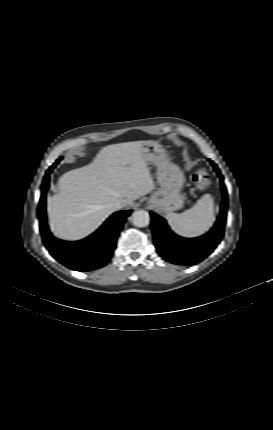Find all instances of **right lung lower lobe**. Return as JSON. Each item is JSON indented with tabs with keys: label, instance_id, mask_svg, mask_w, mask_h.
Masks as SVG:
<instances>
[{
	"label": "right lung lower lobe",
	"instance_id": "98d812e1",
	"mask_svg": "<svg viewBox=\"0 0 273 430\" xmlns=\"http://www.w3.org/2000/svg\"><path fill=\"white\" fill-rule=\"evenodd\" d=\"M56 165L57 163H54L46 171L41 187L38 218L43 242L50 254L69 269L81 272L99 269L110 260L116 247L118 234L131 211L114 213L86 239L70 242L55 238L46 223V191L49 188L50 172Z\"/></svg>",
	"mask_w": 273,
	"mask_h": 430
}]
</instances>
